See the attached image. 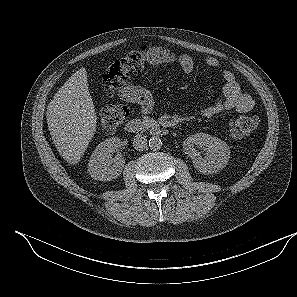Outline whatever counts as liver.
<instances>
[{"mask_svg": "<svg viewBox=\"0 0 297 297\" xmlns=\"http://www.w3.org/2000/svg\"><path fill=\"white\" fill-rule=\"evenodd\" d=\"M47 124L61 157L76 164L93 138L97 116L87 82V71L80 68L48 104Z\"/></svg>", "mask_w": 297, "mask_h": 297, "instance_id": "liver-1", "label": "liver"}]
</instances>
